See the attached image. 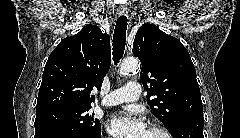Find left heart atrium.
<instances>
[{
  "instance_id": "left-heart-atrium-1",
  "label": "left heart atrium",
  "mask_w": 240,
  "mask_h": 138,
  "mask_svg": "<svg viewBox=\"0 0 240 138\" xmlns=\"http://www.w3.org/2000/svg\"><path fill=\"white\" fill-rule=\"evenodd\" d=\"M110 133L118 138H145L147 129L141 118L117 114L109 123Z\"/></svg>"
}]
</instances>
